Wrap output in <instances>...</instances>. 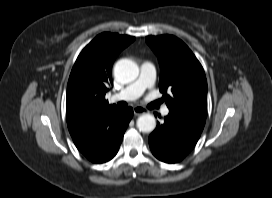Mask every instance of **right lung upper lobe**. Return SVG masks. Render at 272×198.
I'll use <instances>...</instances> for the list:
<instances>
[{"label":"right lung upper lobe","instance_id":"right-lung-upper-lobe-1","mask_svg":"<svg viewBox=\"0 0 272 198\" xmlns=\"http://www.w3.org/2000/svg\"><path fill=\"white\" fill-rule=\"evenodd\" d=\"M134 40L128 35L102 33L79 54L69 77L66 95L67 125L71 136L115 107L105 99L112 84V64Z\"/></svg>","mask_w":272,"mask_h":198}]
</instances>
